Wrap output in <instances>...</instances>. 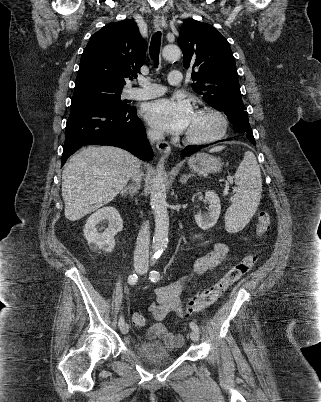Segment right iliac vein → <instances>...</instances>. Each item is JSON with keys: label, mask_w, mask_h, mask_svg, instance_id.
<instances>
[{"label": "right iliac vein", "mask_w": 321, "mask_h": 402, "mask_svg": "<svg viewBox=\"0 0 321 402\" xmlns=\"http://www.w3.org/2000/svg\"><path fill=\"white\" fill-rule=\"evenodd\" d=\"M135 269H136V271H138V272L142 271V269H141L140 267H136ZM128 331H129V326H128V324H124V325L121 327V333H122V334H127Z\"/></svg>", "instance_id": "obj_1"}]
</instances>
